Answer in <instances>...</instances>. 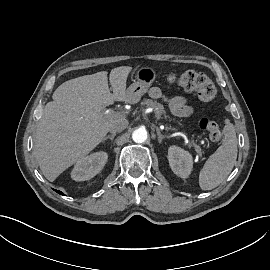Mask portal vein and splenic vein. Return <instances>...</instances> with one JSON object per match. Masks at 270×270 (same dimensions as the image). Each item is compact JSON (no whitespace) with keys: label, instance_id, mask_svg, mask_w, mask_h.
Segmentation results:
<instances>
[{"label":"portal vein and splenic vein","instance_id":"obj_1","mask_svg":"<svg viewBox=\"0 0 270 270\" xmlns=\"http://www.w3.org/2000/svg\"><path fill=\"white\" fill-rule=\"evenodd\" d=\"M109 114H116V115H119L120 112H114L112 109H108V110H106V111L104 112V115H109ZM180 135H181L182 137H184L185 140L195 148V150H196L197 153H199V154L202 153L201 148H200L199 146H197L193 141H189V140L187 139V137H186L185 134L181 133Z\"/></svg>","mask_w":270,"mask_h":270}]
</instances>
